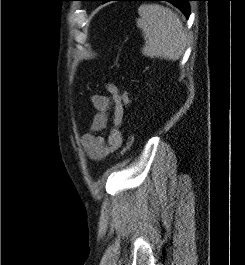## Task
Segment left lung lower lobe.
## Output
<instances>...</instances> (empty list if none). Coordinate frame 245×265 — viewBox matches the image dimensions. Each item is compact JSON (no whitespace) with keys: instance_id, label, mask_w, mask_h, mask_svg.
I'll use <instances>...</instances> for the list:
<instances>
[{"instance_id":"1","label":"left lung lower lobe","mask_w":245,"mask_h":265,"mask_svg":"<svg viewBox=\"0 0 245 265\" xmlns=\"http://www.w3.org/2000/svg\"><path fill=\"white\" fill-rule=\"evenodd\" d=\"M108 1H113V0H104L103 3H106ZM115 1H168L173 5L177 6L188 18L190 14L188 1H194V0H115Z\"/></svg>"}]
</instances>
